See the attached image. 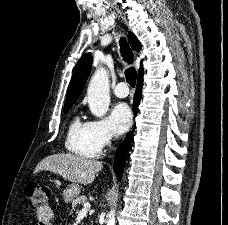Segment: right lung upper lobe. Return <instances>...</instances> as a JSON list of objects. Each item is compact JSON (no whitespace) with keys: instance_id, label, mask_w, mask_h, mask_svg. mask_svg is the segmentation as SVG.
Masks as SVG:
<instances>
[{"instance_id":"cb5924a9","label":"right lung upper lobe","mask_w":228,"mask_h":225,"mask_svg":"<svg viewBox=\"0 0 228 225\" xmlns=\"http://www.w3.org/2000/svg\"><path fill=\"white\" fill-rule=\"evenodd\" d=\"M129 43L133 50L140 51L141 43L132 32H129ZM91 65L92 56H90V53L83 55L78 61L69 84L67 99L65 101L64 107L73 105V103L78 99L84 87V84L90 74Z\"/></svg>"}]
</instances>
